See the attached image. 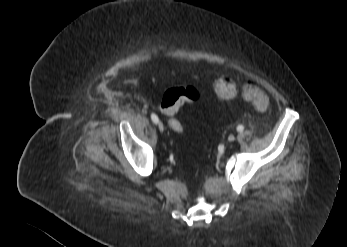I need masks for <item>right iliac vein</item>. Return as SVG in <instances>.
Wrapping results in <instances>:
<instances>
[{
  "mask_svg": "<svg viewBox=\"0 0 347 247\" xmlns=\"http://www.w3.org/2000/svg\"><path fill=\"white\" fill-rule=\"evenodd\" d=\"M158 129L161 131V132H163L164 131V125H163V123L162 122H158Z\"/></svg>",
  "mask_w": 347,
  "mask_h": 247,
  "instance_id": "right-iliac-vein-1",
  "label": "right iliac vein"
}]
</instances>
